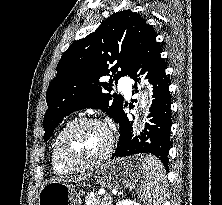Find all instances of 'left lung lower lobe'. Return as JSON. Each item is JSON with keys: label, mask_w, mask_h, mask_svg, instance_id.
<instances>
[{"label": "left lung lower lobe", "mask_w": 222, "mask_h": 205, "mask_svg": "<svg viewBox=\"0 0 222 205\" xmlns=\"http://www.w3.org/2000/svg\"><path fill=\"white\" fill-rule=\"evenodd\" d=\"M156 36L154 32L149 37L140 56L128 73V76L138 82L140 74L148 72L146 78H149L154 89V100L150 107L151 113L148 116V123H146L139 139L138 137L132 139L130 122L127 114L122 110L116 121L120 126V137L116 152L112 155V158L151 153L157 156L166 166L172 125L171 98L169 95V79L165 74L167 67L164 59L160 56L161 50L158 42H156ZM140 69L141 71L139 72ZM133 92L138 91L134 90Z\"/></svg>", "instance_id": "left-lung-lower-lobe-1"}]
</instances>
